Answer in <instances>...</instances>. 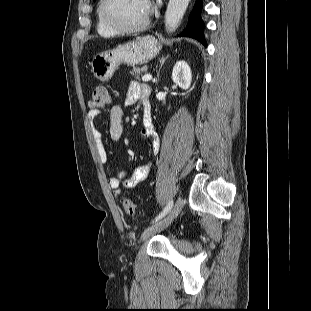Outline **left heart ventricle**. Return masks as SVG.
Segmentation results:
<instances>
[{
	"label": "left heart ventricle",
	"mask_w": 311,
	"mask_h": 311,
	"mask_svg": "<svg viewBox=\"0 0 311 311\" xmlns=\"http://www.w3.org/2000/svg\"><path fill=\"white\" fill-rule=\"evenodd\" d=\"M149 10L147 0H113L109 12L116 22L131 27L141 24Z\"/></svg>",
	"instance_id": "left-heart-ventricle-1"
}]
</instances>
